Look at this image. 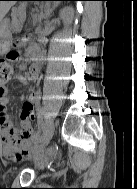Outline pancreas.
<instances>
[{"label": "pancreas", "mask_w": 137, "mask_h": 189, "mask_svg": "<svg viewBox=\"0 0 137 189\" xmlns=\"http://www.w3.org/2000/svg\"><path fill=\"white\" fill-rule=\"evenodd\" d=\"M25 19V10L22 6L14 7L12 9V25L21 26Z\"/></svg>", "instance_id": "pancreas-1"}]
</instances>
